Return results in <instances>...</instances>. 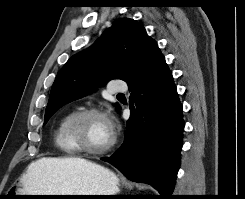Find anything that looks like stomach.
Masks as SVG:
<instances>
[{"label": "stomach", "mask_w": 245, "mask_h": 199, "mask_svg": "<svg viewBox=\"0 0 245 199\" xmlns=\"http://www.w3.org/2000/svg\"><path fill=\"white\" fill-rule=\"evenodd\" d=\"M119 178L110 170L98 165L73 166L63 173H52L43 178L39 189L31 190L21 183L15 186L14 195H116ZM25 196H19L22 198ZM95 197H42V199H75Z\"/></svg>", "instance_id": "obj_1"}]
</instances>
